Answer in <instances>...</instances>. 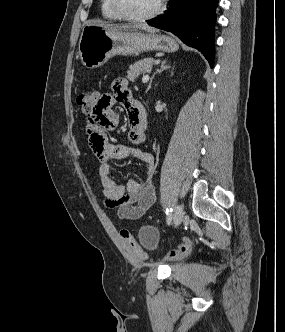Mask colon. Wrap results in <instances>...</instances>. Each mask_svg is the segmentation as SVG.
<instances>
[{
    "mask_svg": "<svg viewBox=\"0 0 285 332\" xmlns=\"http://www.w3.org/2000/svg\"><path fill=\"white\" fill-rule=\"evenodd\" d=\"M103 96L99 95L96 92H83L77 97V104L81 110V112L85 115L86 111H92V107L94 106L95 97ZM110 123V122H109ZM120 235L123 240L127 243L132 252L140 259L145 260L147 258L146 252L139 245V243L134 239L132 233L127 229H122L120 231ZM191 250V244L188 240H185L177 249L170 251L165 260H179L185 258Z\"/></svg>",
    "mask_w": 285,
    "mask_h": 332,
    "instance_id": "colon-1",
    "label": "colon"
}]
</instances>
